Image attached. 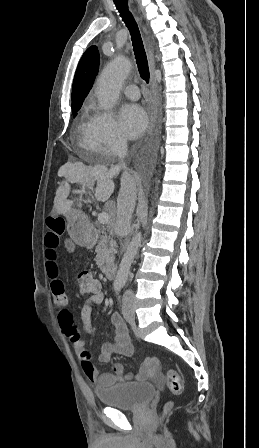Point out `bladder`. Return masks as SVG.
<instances>
[{
    "mask_svg": "<svg viewBox=\"0 0 259 448\" xmlns=\"http://www.w3.org/2000/svg\"><path fill=\"white\" fill-rule=\"evenodd\" d=\"M154 393L155 387L151 383H120L95 390L101 404L122 410L142 408L152 399Z\"/></svg>",
    "mask_w": 259,
    "mask_h": 448,
    "instance_id": "1",
    "label": "bladder"
}]
</instances>
